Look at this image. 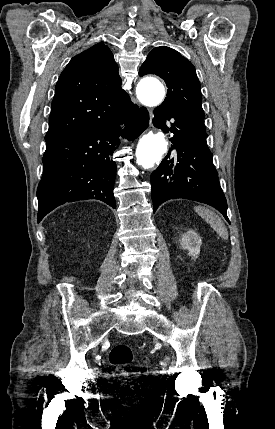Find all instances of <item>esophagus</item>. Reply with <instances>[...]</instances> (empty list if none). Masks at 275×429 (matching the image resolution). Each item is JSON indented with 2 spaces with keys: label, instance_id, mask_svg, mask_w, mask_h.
I'll list each match as a JSON object with an SVG mask.
<instances>
[{
  "label": "esophagus",
  "instance_id": "obj_1",
  "mask_svg": "<svg viewBox=\"0 0 275 429\" xmlns=\"http://www.w3.org/2000/svg\"><path fill=\"white\" fill-rule=\"evenodd\" d=\"M151 118H152V114H151V112H150V120H151Z\"/></svg>",
  "mask_w": 275,
  "mask_h": 429
}]
</instances>
